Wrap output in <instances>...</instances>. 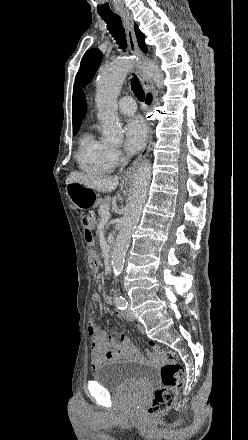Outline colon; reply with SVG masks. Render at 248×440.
Returning a JSON list of instances; mask_svg holds the SVG:
<instances>
[{
    "label": "colon",
    "instance_id": "obj_1",
    "mask_svg": "<svg viewBox=\"0 0 248 440\" xmlns=\"http://www.w3.org/2000/svg\"><path fill=\"white\" fill-rule=\"evenodd\" d=\"M82 223L85 228L86 242L89 247L92 248V227L94 220L89 216H85L82 219ZM89 262L92 269L95 270L98 268L99 260L92 250L89 251ZM156 348L157 350H160L158 344ZM165 358L166 361L160 369L162 384L154 392L153 400L146 409L147 416L150 418L165 415L170 410L176 399L178 390L184 382L185 370L178 362L177 355L173 351H166Z\"/></svg>",
    "mask_w": 248,
    "mask_h": 440
}]
</instances>
